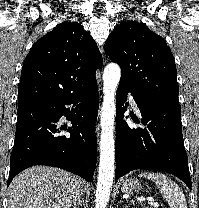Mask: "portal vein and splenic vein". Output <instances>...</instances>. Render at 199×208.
<instances>
[{
  "mask_svg": "<svg viewBox=\"0 0 199 208\" xmlns=\"http://www.w3.org/2000/svg\"><path fill=\"white\" fill-rule=\"evenodd\" d=\"M145 201H147L148 202V204H150L151 206H153V207H155V208H158L159 207V203L158 202H156L154 199H151V198H142L141 199V202H145Z\"/></svg>",
  "mask_w": 199,
  "mask_h": 208,
  "instance_id": "portal-vein-and-splenic-vein-1",
  "label": "portal vein and splenic vein"
}]
</instances>
